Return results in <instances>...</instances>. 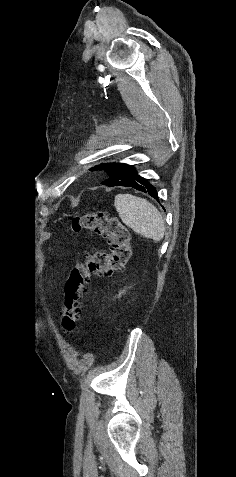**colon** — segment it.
Segmentation results:
<instances>
[{"mask_svg": "<svg viewBox=\"0 0 236 477\" xmlns=\"http://www.w3.org/2000/svg\"><path fill=\"white\" fill-rule=\"evenodd\" d=\"M75 232L89 231L106 238L111 245L109 253L90 254L70 273L65 284V301L61 326L72 333L79 320L82 297L91 276L108 275L122 269L133 254L130 231L107 212H91L78 215L72 220Z\"/></svg>", "mask_w": 236, "mask_h": 477, "instance_id": "colon-1", "label": "colon"}]
</instances>
